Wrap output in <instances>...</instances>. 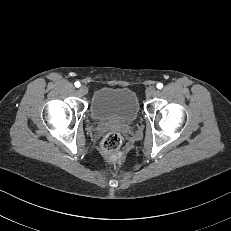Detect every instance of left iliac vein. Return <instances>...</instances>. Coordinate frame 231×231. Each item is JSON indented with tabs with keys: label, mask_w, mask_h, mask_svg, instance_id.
I'll return each instance as SVG.
<instances>
[{
	"label": "left iliac vein",
	"mask_w": 231,
	"mask_h": 231,
	"mask_svg": "<svg viewBox=\"0 0 231 231\" xmlns=\"http://www.w3.org/2000/svg\"><path fill=\"white\" fill-rule=\"evenodd\" d=\"M156 92H157V89H156L155 86H150V87H148V88L146 89V95H147L148 97H151V96L155 95Z\"/></svg>",
	"instance_id": "1"
}]
</instances>
